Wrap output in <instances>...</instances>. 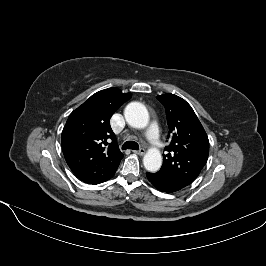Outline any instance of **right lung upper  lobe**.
<instances>
[{
  "label": "right lung upper lobe",
  "mask_w": 266,
  "mask_h": 266,
  "mask_svg": "<svg viewBox=\"0 0 266 266\" xmlns=\"http://www.w3.org/2000/svg\"><path fill=\"white\" fill-rule=\"evenodd\" d=\"M131 96L118 88L101 90L69 115L61 145L68 166L81 181L99 184L116 172L123 154L110 118Z\"/></svg>",
  "instance_id": "cb5924a9"
}]
</instances>
